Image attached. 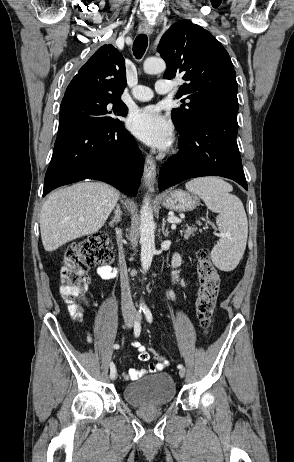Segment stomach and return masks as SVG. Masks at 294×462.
I'll return each instance as SVG.
<instances>
[{
	"label": "stomach",
	"mask_w": 294,
	"mask_h": 462,
	"mask_svg": "<svg viewBox=\"0 0 294 462\" xmlns=\"http://www.w3.org/2000/svg\"><path fill=\"white\" fill-rule=\"evenodd\" d=\"M162 205L170 210L188 212L199 205V198L182 190L172 191L163 201Z\"/></svg>",
	"instance_id": "stomach-1"
}]
</instances>
